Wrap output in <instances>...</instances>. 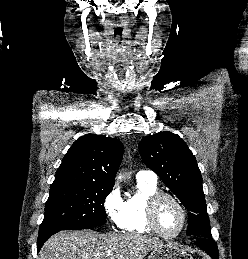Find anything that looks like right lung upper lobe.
<instances>
[{"mask_svg": "<svg viewBox=\"0 0 248 259\" xmlns=\"http://www.w3.org/2000/svg\"><path fill=\"white\" fill-rule=\"evenodd\" d=\"M123 152V144L115 138L86 134L78 138L68 150L51 186H113Z\"/></svg>", "mask_w": 248, "mask_h": 259, "instance_id": "cb5924a9", "label": "right lung upper lobe"}]
</instances>
